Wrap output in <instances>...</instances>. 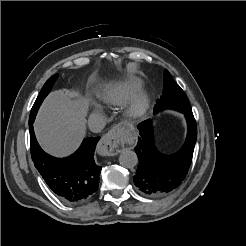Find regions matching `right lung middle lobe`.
I'll return each mask as SVG.
<instances>
[{"label": "right lung middle lobe", "instance_id": "dd1d6c3e", "mask_svg": "<svg viewBox=\"0 0 246 246\" xmlns=\"http://www.w3.org/2000/svg\"><path fill=\"white\" fill-rule=\"evenodd\" d=\"M58 75L55 74L53 75L51 78H49L46 83L44 84L43 88L41 89L33 107L30 113V118H29V123H33L34 119L36 117L37 111L41 105V103L43 102L44 98L49 94V92L51 91V88L54 84V82L56 81Z\"/></svg>", "mask_w": 246, "mask_h": 246}]
</instances>
